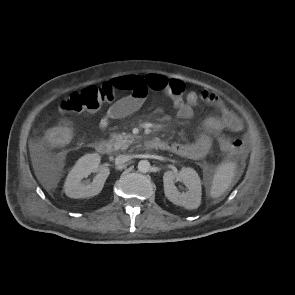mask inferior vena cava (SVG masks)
<instances>
[{"label": "inferior vena cava", "mask_w": 295, "mask_h": 295, "mask_svg": "<svg viewBox=\"0 0 295 295\" xmlns=\"http://www.w3.org/2000/svg\"><path fill=\"white\" fill-rule=\"evenodd\" d=\"M130 159H131L130 155H119V156L116 157L115 163L116 164H122V163H125V162L129 161Z\"/></svg>", "instance_id": "1"}]
</instances>
